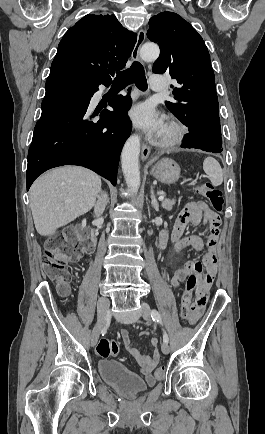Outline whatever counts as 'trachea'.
I'll return each instance as SVG.
<instances>
[{
  "mask_svg": "<svg viewBox=\"0 0 265 434\" xmlns=\"http://www.w3.org/2000/svg\"><path fill=\"white\" fill-rule=\"evenodd\" d=\"M114 82L123 85H129L135 82V85L139 90H147V81L143 65L137 61H134L131 67L127 70L118 72Z\"/></svg>",
  "mask_w": 265,
  "mask_h": 434,
  "instance_id": "obj_1",
  "label": "trachea"
}]
</instances>
